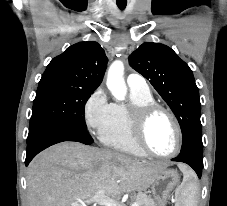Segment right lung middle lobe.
<instances>
[{
  "instance_id": "obj_1",
  "label": "right lung middle lobe",
  "mask_w": 227,
  "mask_h": 206,
  "mask_svg": "<svg viewBox=\"0 0 227 206\" xmlns=\"http://www.w3.org/2000/svg\"><path fill=\"white\" fill-rule=\"evenodd\" d=\"M93 93L58 85H39L33 101L29 135L45 127L72 130L93 143L82 121L84 105Z\"/></svg>"
}]
</instances>
